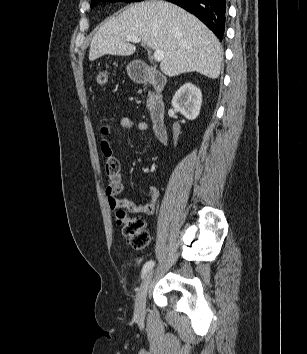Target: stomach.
Here are the masks:
<instances>
[{"label": "stomach", "instance_id": "0dacf381", "mask_svg": "<svg viewBox=\"0 0 307 354\" xmlns=\"http://www.w3.org/2000/svg\"><path fill=\"white\" fill-rule=\"evenodd\" d=\"M127 72L130 77L135 78L138 76V70H137V65L135 62H132L128 64L127 66Z\"/></svg>", "mask_w": 307, "mask_h": 354}]
</instances>
